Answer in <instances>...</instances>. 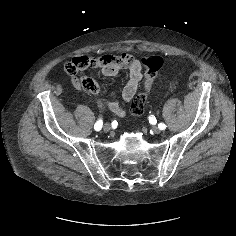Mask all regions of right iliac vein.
<instances>
[{"label": "right iliac vein", "instance_id": "obj_1", "mask_svg": "<svg viewBox=\"0 0 236 236\" xmlns=\"http://www.w3.org/2000/svg\"><path fill=\"white\" fill-rule=\"evenodd\" d=\"M103 130L105 132H109L111 130V125L109 123H105L103 126Z\"/></svg>", "mask_w": 236, "mask_h": 236}]
</instances>
